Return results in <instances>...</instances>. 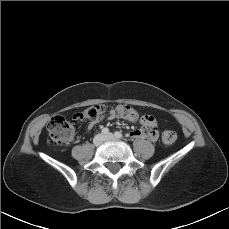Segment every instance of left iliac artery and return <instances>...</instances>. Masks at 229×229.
Listing matches in <instances>:
<instances>
[{"label": "left iliac artery", "mask_w": 229, "mask_h": 229, "mask_svg": "<svg viewBox=\"0 0 229 229\" xmlns=\"http://www.w3.org/2000/svg\"><path fill=\"white\" fill-rule=\"evenodd\" d=\"M114 134H115V136L117 138H122L123 137V134L121 132H119V131H116Z\"/></svg>", "instance_id": "obj_1"}]
</instances>
